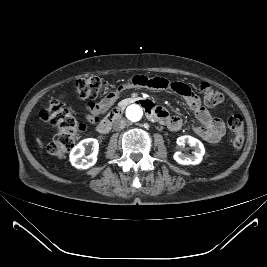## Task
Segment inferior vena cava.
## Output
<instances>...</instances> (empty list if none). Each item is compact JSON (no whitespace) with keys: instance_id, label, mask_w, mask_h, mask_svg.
<instances>
[{"instance_id":"obj_1","label":"inferior vena cava","mask_w":267,"mask_h":267,"mask_svg":"<svg viewBox=\"0 0 267 267\" xmlns=\"http://www.w3.org/2000/svg\"><path fill=\"white\" fill-rule=\"evenodd\" d=\"M126 124H127V122L124 118L117 119L113 123V129L116 131H119V130L125 128Z\"/></svg>"}]
</instances>
